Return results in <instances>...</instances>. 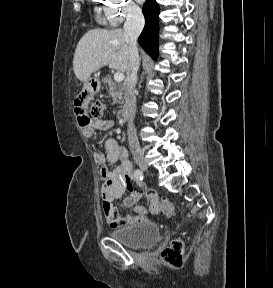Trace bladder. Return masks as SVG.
<instances>
[{"instance_id":"31cf9c89","label":"bladder","mask_w":273,"mask_h":288,"mask_svg":"<svg viewBox=\"0 0 273 288\" xmlns=\"http://www.w3.org/2000/svg\"><path fill=\"white\" fill-rule=\"evenodd\" d=\"M116 242L131 249H148L157 244L161 238L159 227L153 222L136 223L110 232Z\"/></svg>"}]
</instances>
